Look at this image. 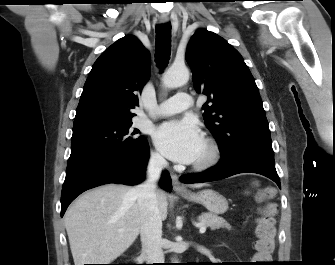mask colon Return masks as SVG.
I'll use <instances>...</instances> for the list:
<instances>
[{"instance_id": "1", "label": "colon", "mask_w": 335, "mask_h": 265, "mask_svg": "<svg viewBox=\"0 0 335 265\" xmlns=\"http://www.w3.org/2000/svg\"><path fill=\"white\" fill-rule=\"evenodd\" d=\"M271 196L272 191L268 188L258 192V199L266 203V206L257 221L256 253L254 255L256 265H269L275 249L274 207L268 203Z\"/></svg>"}]
</instances>
